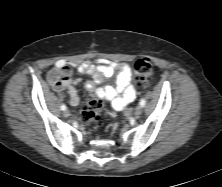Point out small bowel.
I'll return each instance as SVG.
<instances>
[{
	"label": "small bowel",
	"mask_w": 222,
	"mask_h": 187,
	"mask_svg": "<svg viewBox=\"0 0 222 187\" xmlns=\"http://www.w3.org/2000/svg\"><path fill=\"white\" fill-rule=\"evenodd\" d=\"M80 73L92 75V80L85 84L89 92H93L98 98L110 102L112 107L123 110L137 97V91L131 84L132 69L127 63H116L105 59H98L95 63L91 61L76 65ZM118 72L115 86L96 87L105 78ZM50 86L56 91L67 90L69 101L72 106L78 105L80 98L75 85L81 82V78H71V71L65 61L59 60L47 74Z\"/></svg>",
	"instance_id": "1"
}]
</instances>
